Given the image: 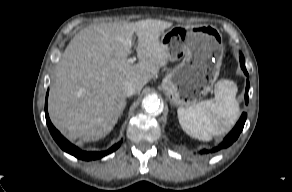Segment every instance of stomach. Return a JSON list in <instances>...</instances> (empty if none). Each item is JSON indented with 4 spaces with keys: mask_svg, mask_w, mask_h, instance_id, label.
I'll list each match as a JSON object with an SVG mask.
<instances>
[{
    "mask_svg": "<svg viewBox=\"0 0 292 192\" xmlns=\"http://www.w3.org/2000/svg\"><path fill=\"white\" fill-rule=\"evenodd\" d=\"M161 44L171 61H180L163 79L164 93L173 105L196 104L212 90L219 75L223 56L220 32L208 25L175 26L162 33Z\"/></svg>",
    "mask_w": 292,
    "mask_h": 192,
    "instance_id": "stomach-1",
    "label": "stomach"
}]
</instances>
